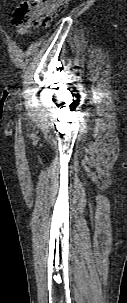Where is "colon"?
<instances>
[{
	"instance_id": "5ec220e1",
	"label": "colon",
	"mask_w": 127,
	"mask_h": 303,
	"mask_svg": "<svg viewBox=\"0 0 127 303\" xmlns=\"http://www.w3.org/2000/svg\"><path fill=\"white\" fill-rule=\"evenodd\" d=\"M67 4L68 0H26L16 8L13 24L23 31L48 26L51 18L63 11Z\"/></svg>"
}]
</instances>
